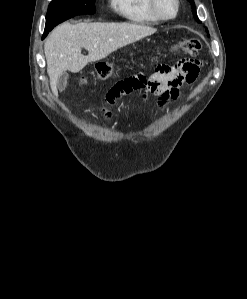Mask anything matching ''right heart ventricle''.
<instances>
[{
  "mask_svg": "<svg viewBox=\"0 0 247 299\" xmlns=\"http://www.w3.org/2000/svg\"><path fill=\"white\" fill-rule=\"evenodd\" d=\"M111 8L128 22L156 25L160 22L150 9V0H110Z\"/></svg>",
  "mask_w": 247,
  "mask_h": 299,
  "instance_id": "1",
  "label": "right heart ventricle"
}]
</instances>
